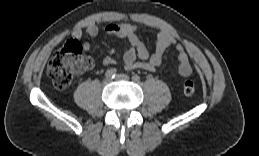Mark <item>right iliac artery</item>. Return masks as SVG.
Masks as SVG:
<instances>
[{
  "label": "right iliac artery",
  "instance_id": "82829eb1",
  "mask_svg": "<svg viewBox=\"0 0 259 156\" xmlns=\"http://www.w3.org/2000/svg\"><path fill=\"white\" fill-rule=\"evenodd\" d=\"M116 74H117V70L115 68H111L106 71L105 77L108 79H113L115 78Z\"/></svg>",
  "mask_w": 259,
  "mask_h": 156
}]
</instances>
